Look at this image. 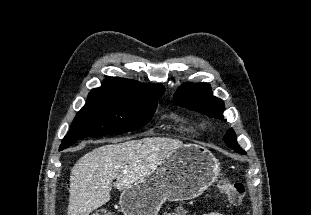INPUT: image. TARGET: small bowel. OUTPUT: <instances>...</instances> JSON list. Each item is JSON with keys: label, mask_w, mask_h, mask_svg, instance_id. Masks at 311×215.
I'll return each mask as SVG.
<instances>
[{"label": "small bowel", "mask_w": 311, "mask_h": 215, "mask_svg": "<svg viewBox=\"0 0 311 215\" xmlns=\"http://www.w3.org/2000/svg\"><path fill=\"white\" fill-rule=\"evenodd\" d=\"M201 215H223V214L218 213V212H210V213H204V214H201Z\"/></svg>", "instance_id": "small-bowel-1"}]
</instances>
